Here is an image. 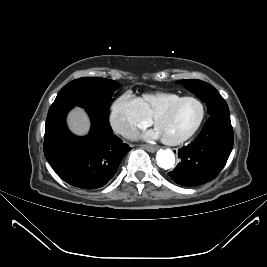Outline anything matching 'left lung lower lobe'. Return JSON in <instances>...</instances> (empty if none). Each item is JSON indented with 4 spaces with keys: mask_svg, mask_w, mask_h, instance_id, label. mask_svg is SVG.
I'll return each instance as SVG.
<instances>
[{
    "mask_svg": "<svg viewBox=\"0 0 267 267\" xmlns=\"http://www.w3.org/2000/svg\"><path fill=\"white\" fill-rule=\"evenodd\" d=\"M233 139L230 115H211L194 142L178 150L181 162L168 173L169 177L183 186L211 181L225 166Z\"/></svg>",
    "mask_w": 267,
    "mask_h": 267,
    "instance_id": "left-lung-lower-lobe-1",
    "label": "left lung lower lobe"
}]
</instances>
